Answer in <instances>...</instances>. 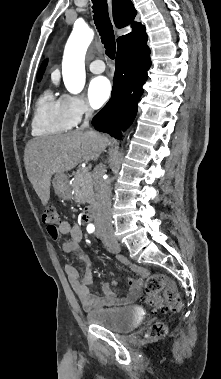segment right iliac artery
<instances>
[{"label":"right iliac artery","mask_w":221,"mask_h":379,"mask_svg":"<svg viewBox=\"0 0 221 379\" xmlns=\"http://www.w3.org/2000/svg\"><path fill=\"white\" fill-rule=\"evenodd\" d=\"M94 230H95V226H94L93 224H89V225L87 226V231H88V233H93Z\"/></svg>","instance_id":"right-iliac-artery-1"}]
</instances>
